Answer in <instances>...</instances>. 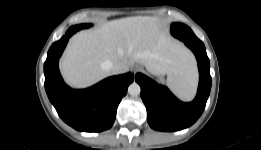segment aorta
Segmentation results:
<instances>
[{
	"label": "aorta",
	"instance_id": "obj_1",
	"mask_svg": "<svg viewBox=\"0 0 261 150\" xmlns=\"http://www.w3.org/2000/svg\"><path fill=\"white\" fill-rule=\"evenodd\" d=\"M141 91V88L138 83L133 82L132 84L129 85L128 87V93L132 96L139 95Z\"/></svg>",
	"mask_w": 261,
	"mask_h": 150
}]
</instances>
